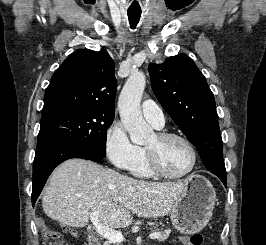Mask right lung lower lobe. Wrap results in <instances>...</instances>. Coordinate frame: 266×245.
I'll use <instances>...</instances> for the list:
<instances>
[{
  "instance_id": "obj_1",
  "label": "right lung lower lobe",
  "mask_w": 266,
  "mask_h": 245,
  "mask_svg": "<svg viewBox=\"0 0 266 245\" xmlns=\"http://www.w3.org/2000/svg\"><path fill=\"white\" fill-rule=\"evenodd\" d=\"M71 158H82L102 163L104 157L87 148L68 143H57L37 150L33 163V187L31 196L33 207L54 168L63 161Z\"/></svg>"
}]
</instances>
